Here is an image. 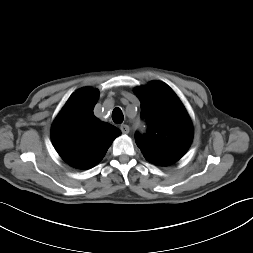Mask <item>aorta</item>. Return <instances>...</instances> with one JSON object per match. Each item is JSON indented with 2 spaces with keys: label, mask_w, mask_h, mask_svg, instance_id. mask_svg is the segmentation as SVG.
Returning <instances> with one entry per match:
<instances>
[{
  "label": "aorta",
  "mask_w": 253,
  "mask_h": 253,
  "mask_svg": "<svg viewBox=\"0 0 253 253\" xmlns=\"http://www.w3.org/2000/svg\"><path fill=\"white\" fill-rule=\"evenodd\" d=\"M134 129L138 132H143L145 130V125L139 118L134 123Z\"/></svg>",
  "instance_id": "1"
}]
</instances>
